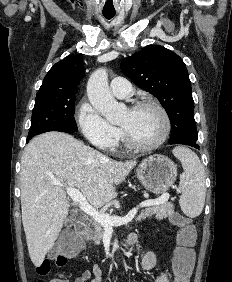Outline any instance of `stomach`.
Here are the masks:
<instances>
[{
	"label": "stomach",
	"mask_w": 232,
	"mask_h": 282,
	"mask_svg": "<svg viewBox=\"0 0 232 282\" xmlns=\"http://www.w3.org/2000/svg\"><path fill=\"white\" fill-rule=\"evenodd\" d=\"M136 176L147 191L161 194L175 182L177 166L168 157L154 154L145 158L138 165Z\"/></svg>",
	"instance_id": "obj_1"
}]
</instances>
